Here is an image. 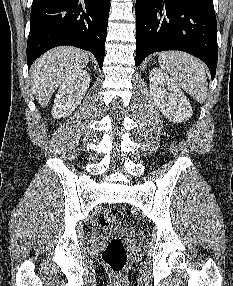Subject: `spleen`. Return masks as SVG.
<instances>
[{
    "instance_id": "3e777b00",
    "label": "spleen",
    "mask_w": 233,
    "mask_h": 286,
    "mask_svg": "<svg viewBox=\"0 0 233 286\" xmlns=\"http://www.w3.org/2000/svg\"><path fill=\"white\" fill-rule=\"evenodd\" d=\"M160 67L197 102L202 103L208 94L205 64L196 57L181 51L159 53Z\"/></svg>"
}]
</instances>
